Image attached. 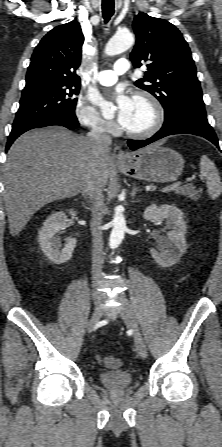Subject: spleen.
Masks as SVG:
<instances>
[{
	"label": "spleen",
	"instance_id": "obj_1",
	"mask_svg": "<svg viewBox=\"0 0 222 447\" xmlns=\"http://www.w3.org/2000/svg\"><path fill=\"white\" fill-rule=\"evenodd\" d=\"M200 173L206 178L207 193L212 199H216L222 192V183L218 170L206 155L200 159Z\"/></svg>",
	"mask_w": 222,
	"mask_h": 447
}]
</instances>
